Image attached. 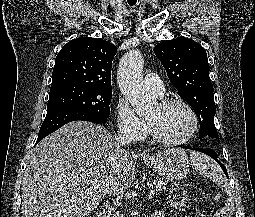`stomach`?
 <instances>
[{"label":"stomach","instance_id":"0dacf381","mask_svg":"<svg viewBox=\"0 0 255 217\" xmlns=\"http://www.w3.org/2000/svg\"><path fill=\"white\" fill-rule=\"evenodd\" d=\"M144 163L167 180H181L187 176L189 160L179 148L167 149L144 158Z\"/></svg>","mask_w":255,"mask_h":217}]
</instances>
